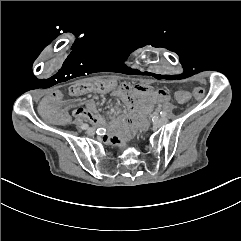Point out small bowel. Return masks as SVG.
<instances>
[{"label": "small bowel", "mask_w": 241, "mask_h": 241, "mask_svg": "<svg viewBox=\"0 0 241 241\" xmlns=\"http://www.w3.org/2000/svg\"><path fill=\"white\" fill-rule=\"evenodd\" d=\"M107 83V90L104 93H112L119 97L130 110L128 98L133 96V92L126 84L116 85L114 81L104 80ZM79 86V85H78ZM97 93V92H95ZM85 94L80 92L79 95ZM169 90L168 89H151L144 85H137L134 88V95L137 98H142L147 102H159L165 103L169 101ZM62 94L59 91L54 92L51 95L46 96L42 101L41 112L45 119L51 120L54 117L53 112L50 110L51 103H54L61 99ZM87 107V108H86ZM86 107H78L74 110L73 114L81 122L90 121L93 124L101 125L104 123V119L95 112V105L93 101H88ZM71 116L68 113L58 115L55 118L56 123L63 124L70 121ZM146 124L137 122L133 117H128L126 120L119 122L114 125L113 132L109 133L104 137V142L120 148H125L128 142L136 137V135L144 130Z\"/></svg>", "instance_id": "1"}]
</instances>
